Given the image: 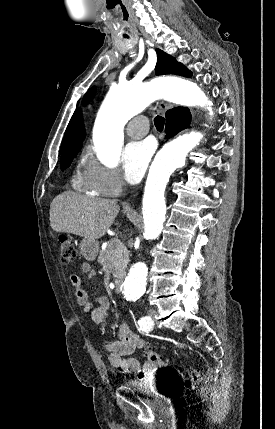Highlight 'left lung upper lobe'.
Wrapping results in <instances>:
<instances>
[{
    "instance_id": "1",
    "label": "left lung upper lobe",
    "mask_w": 275,
    "mask_h": 429,
    "mask_svg": "<svg viewBox=\"0 0 275 429\" xmlns=\"http://www.w3.org/2000/svg\"><path fill=\"white\" fill-rule=\"evenodd\" d=\"M157 52V64L155 67L156 75L176 74L184 77H191L192 73L175 58L166 54L160 49ZM94 95V89H90L84 96L83 102L88 101Z\"/></svg>"
}]
</instances>
